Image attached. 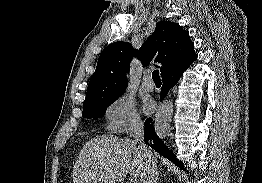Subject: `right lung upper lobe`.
<instances>
[{
    "label": "right lung upper lobe",
    "instance_id": "right-lung-upper-lobe-1",
    "mask_svg": "<svg viewBox=\"0 0 262 183\" xmlns=\"http://www.w3.org/2000/svg\"><path fill=\"white\" fill-rule=\"evenodd\" d=\"M136 56L147 66L151 60L162 64V78L187 69L197 59L194 43L178 23L160 21L139 51L128 42H114L100 54L84 103L123 94L127 87L126 73Z\"/></svg>",
    "mask_w": 262,
    "mask_h": 183
}]
</instances>
